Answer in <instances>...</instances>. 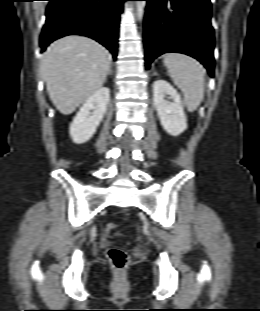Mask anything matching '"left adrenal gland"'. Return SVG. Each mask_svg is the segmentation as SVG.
Here are the masks:
<instances>
[{
    "label": "left adrenal gland",
    "instance_id": "a2214340",
    "mask_svg": "<svg viewBox=\"0 0 260 311\" xmlns=\"http://www.w3.org/2000/svg\"><path fill=\"white\" fill-rule=\"evenodd\" d=\"M153 75H157V73H156V72H153Z\"/></svg>",
    "mask_w": 260,
    "mask_h": 311
}]
</instances>
